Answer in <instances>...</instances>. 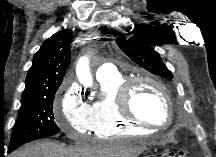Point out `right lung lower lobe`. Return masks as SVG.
Here are the masks:
<instances>
[{
  "label": "right lung lower lobe",
  "instance_id": "obj_1",
  "mask_svg": "<svg viewBox=\"0 0 216 157\" xmlns=\"http://www.w3.org/2000/svg\"><path fill=\"white\" fill-rule=\"evenodd\" d=\"M12 150H14V149H12V148H9V151H8V152L10 153Z\"/></svg>",
  "mask_w": 216,
  "mask_h": 157
}]
</instances>
